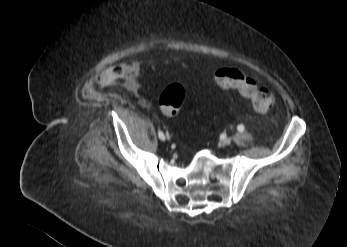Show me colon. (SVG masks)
Returning a JSON list of instances; mask_svg holds the SVG:
<instances>
[{"instance_id":"1","label":"colon","mask_w":347,"mask_h":247,"mask_svg":"<svg viewBox=\"0 0 347 247\" xmlns=\"http://www.w3.org/2000/svg\"><path fill=\"white\" fill-rule=\"evenodd\" d=\"M217 85L222 89H236L251 101L258 112H267L272 108L275 97L272 91L264 86H258L250 77L235 68H222L215 74ZM185 90L179 84L168 86L161 94L160 107L164 114L176 116L184 102Z\"/></svg>"}]
</instances>
